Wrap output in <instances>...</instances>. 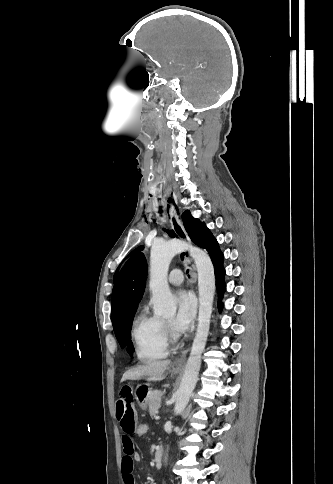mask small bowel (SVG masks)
<instances>
[{"label": "small bowel", "instance_id": "1", "mask_svg": "<svg viewBox=\"0 0 333 484\" xmlns=\"http://www.w3.org/2000/svg\"><path fill=\"white\" fill-rule=\"evenodd\" d=\"M116 419L122 429L121 442L124 455L121 461V471L124 484H135L133 468L134 462L140 461L135 452L133 437L138 424V414L134 401V390L131 385L125 384L119 391L115 403Z\"/></svg>", "mask_w": 333, "mask_h": 484}]
</instances>
